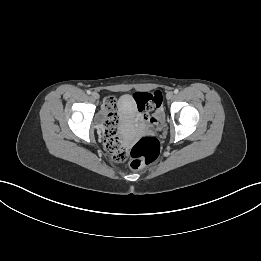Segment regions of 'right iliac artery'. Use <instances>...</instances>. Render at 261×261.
Listing matches in <instances>:
<instances>
[{
    "mask_svg": "<svg viewBox=\"0 0 261 261\" xmlns=\"http://www.w3.org/2000/svg\"><path fill=\"white\" fill-rule=\"evenodd\" d=\"M87 94L90 95V94H91V91H90V90H87Z\"/></svg>",
    "mask_w": 261,
    "mask_h": 261,
    "instance_id": "82829eb1",
    "label": "right iliac artery"
}]
</instances>
